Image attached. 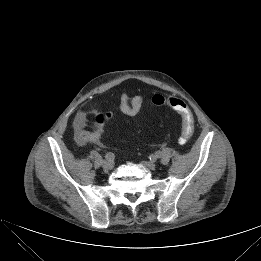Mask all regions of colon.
Returning <instances> with one entry per match:
<instances>
[{"label": "colon", "mask_w": 261, "mask_h": 261, "mask_svg": "<svg viewBox=\"0 0 261 261\" xmlns=\"http://www.w3.org/2000/svg\"><path fill=\"white\" fill-rule=\"evenodd\" d=\"M151 101L155 106L169 107L181 115L182 125H181V136L179 138V143L181 145L186 144L190 140L194 132V119L187 104L180 98L173 97V96L164 97L160 94H155L152 97ZM112 117H113L112 113L105 114L106 120H110Z\"/></svg>", "instance_id": "5ec220e1"}]
</instances>
